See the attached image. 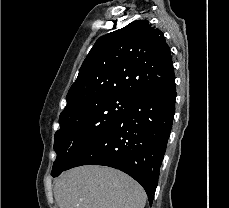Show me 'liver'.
Returning a JSON list of instances; mask_svg holds the SVG:
<instances>
[{"label":"liver","mask_w":229,"mask_h":208,"mask_svg":"<svg viewBox=\"0 0 229 208\" xmlns=\"http://www.w3.org/2000/svg\"><path fill=\"white\" fill-rule=\"evenodd\" d=\"M59 208H144L146 194L127 174L106 166H81L56 180Z\"/></svg>","instance_id":"liver-1"}]
</instances>
